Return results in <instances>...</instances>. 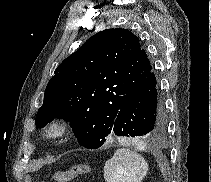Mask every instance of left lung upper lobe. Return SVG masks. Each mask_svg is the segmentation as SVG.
I'll use <instances>...</instances> for the list:
<instances>
[{
    "mask_svg": "<svg viewBox=\"0 0 211 182\" xmlns=\"http://www.w3.org/2000/svg\"><path fill=\"white\" fill-rule=\"evenodd\" d=\"M151 67L131 31L115 28L96 33L56 68L37 112L36 127L43 128L55 118L70 121L78 143L97 149Z\"/></svg>",
    "mask_w": 211,
    "mask_h": 182,
    "instance_id": "1",
    "label": "left lung upper lobe"
}]
</instances>
